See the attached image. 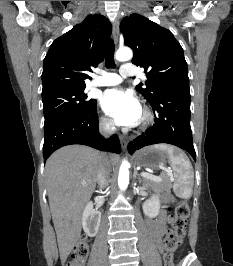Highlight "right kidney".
I'll list each match as a JSON object with an SVG mask.
<instances>
[{
    "instance_id": "right-kidney-1",
    "label": "right kidney",
    "mask_w": 233,
    "mask_h": 266,
    "mask_svg": "<svg viewBox=\"0 0 233 266\" xmlns=\"http://www.w3.org/2000/svg\"><path fill=\"white\" fill-rule=\"evenodd\" d=\"M100 221L101 213L93 209L92 202L87 203L82 215V226L84 232L88 236H95L98 232Z\"/></svg>"
}]
</instances>
